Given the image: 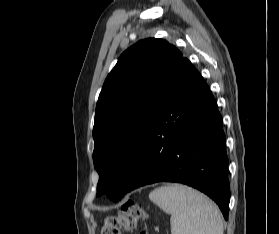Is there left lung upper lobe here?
<instances>
[{"label": "left lung upper lobe", "instance_id": "5c2ea615", "mask_svg": "<svg viewBox=\"0 0 279 234\" xmlns=\"http://www.w3.org/2000/svg\"><path fill=\"white\" fill-rule=\"evenodd\" d=\"M182 53L163 39L128 48L107 76L96 105L93 162L97 196L118 201L139 159L152 118Z\"/></svg>", "mask_w": 279, "mask_h": 234}]
</instances>
